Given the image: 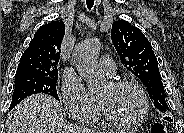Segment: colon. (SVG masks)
<instances>
[{
	"label": "colon",
	"mask_w": 184,
	"mask_h": 133,
	"mask_svg": "<svg viewBox=\"0 0 184 133\" xmlns=\"http://www.w3.org/2000/svg\"><path fill=\"white\" fill-rule=\"evenodd\" d=\"M151 133H168L167 127L161 123L154 124Z\"/></svg>",
	"instance_id": "1"
}]
</instances>
